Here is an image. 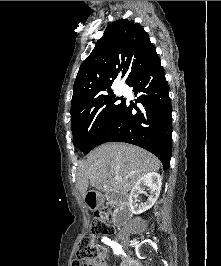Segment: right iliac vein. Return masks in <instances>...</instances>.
Wrapping results in <instances>:
<instances>
[{
  "label": "right iliac vein",
  "instance_id": "63e3f726",
  "mask_svg": "<svg viewBox=\"0 0 221 266\" xmlns=\"http://www.w3.org/2000/svg\"><path fill=\"white\" fill-rule=\"evenodd\" d=\"M123 247L124 248H127V244L125 242L123 243Z\"/></svg>",
  "mask_w": 221,
  "mask_h": 266
}]
</instances>
